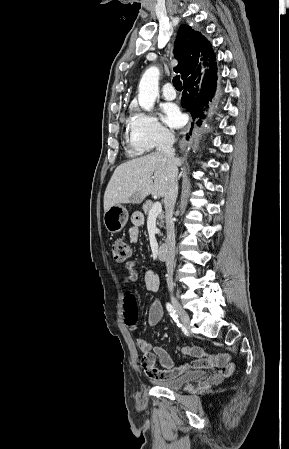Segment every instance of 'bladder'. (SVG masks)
<instances>
[{"label":"bladder","mask_w":289,"mask_h":449,"mask_svg":"<svg viewBox=\"0 0 289 449\" xmlns=\"http://www.w3.org/2000/svg\"><path fill=\"white\" fill-rule=\"evenodd\" d=\"M206 376V372L203 370H195L187 372L179 377L172 379H157L153 380V383L159 387L169 389L172 391L181 390L190 384L196 383Z\"/></svg>","instance_id":"obj_1"}]
</instances>
